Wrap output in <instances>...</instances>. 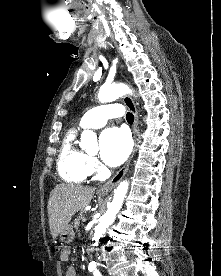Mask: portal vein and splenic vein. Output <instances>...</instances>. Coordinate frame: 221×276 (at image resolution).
<instances>
[{
    "instance_id": "portal-vein-and-splenic-vein-1",
    "label": "portal vein and splenic vein",
    "mask_w": 221,
    "mask_h": 276,
    "mask_svg": "<svg viewBox=\"0 0 221 276\" xmlns=\"http://www.w3.org/2000/svg\"><path fill=\"white\" fill-rule=\"evenodd\" d=\"M82 222H86V217H82Z\"/></svg>"
}]
</instances>
